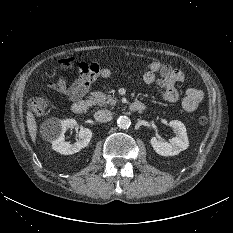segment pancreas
<instances>
[{
  "mask_svg": "<svg viewBox=\"0 0 233 233\" xmlns=\"http://www.w3.org/2000/svg\"><path fill=\"white\" fill-rule=\"evenodd\" d=\"M93 95V103L97 104L98 106L102 107L105 105L114 106L117 103V100L112 97L111 95H106L101 92H95Z\"/></svg>",
  "mask_w": 233,
  "mask_h": 233,
  "instance_id": "obj_1",
  "label": "pancreas"
}]
</instances>
